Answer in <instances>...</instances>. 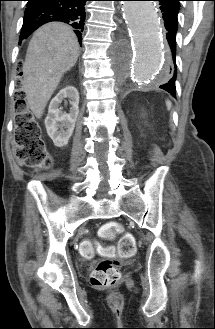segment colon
Wrapping results in <instances>:
<instances>
[{"label":"colon","instance_id":"obj_1","mask_svg":"<svg viewBox=\"0 0 215 329\" xmlns=\"http://www.w3.org/2000/svg\"><path fill=\"white\" fill-rule=\"evenodd\" d=\"M14 73H24V66H14ZM15 143L16 157L27 166L34 168H48L52 165V157L41 138V129L25 101L19 98L16 101ZM121 226L116 222L104 224L99 234L103 239L112 240L121 233ZM99 252L106 256L100 261L91 274V283L95 287L107 288L115 286L120 279L119 266L123 259L130 258L136 252V240L130 234L122 235L115 249L111 246L98 247ZM84 255H91L93 244L85 241L80 247Z\"/></svg>","mask_w":215,"mask_h":329}]
</instances>
